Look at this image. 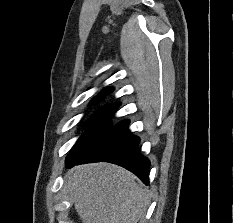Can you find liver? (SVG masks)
Masks as SVG:
<instances>
[{
  "label": "liver",
  "instance_id": "obj_1",
  "mask_svg": "<svg viewBox=\"0 0 233 223\" xmlns=\"http://www.w3.org/2000/svg\"><path fill=\"white\" fill-rule=\"evenodd\" d=\"M65 177L81 223H137L150 201L135 175L114 163L74 165Z\"/></svg>",
  "mask_w": 233,
  "mask_h": 223
}]
</instances>
